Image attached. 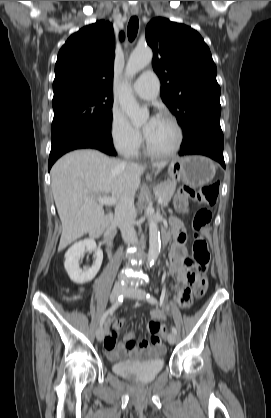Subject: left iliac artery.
<instances>
[{"mask_svg": "<svg viewBox=\"0 0 271 418\" xmlns=\"http://www.w3.org/2000/svg\"><path fill=\"white\" fill-rule=\"evenodd\" d=\"M146 300L151 304H157L158 303L157 299L154 296L150 295L149 293L146 294ZM171 330H172L173 334H175V335L177 334V329L174 326H172Z\"/></svg>", "mask_w": 271, "mask_h": 418, "instance_id": "left-iliac-artery-1", "label": "left iliac artery"}]
</instances>
